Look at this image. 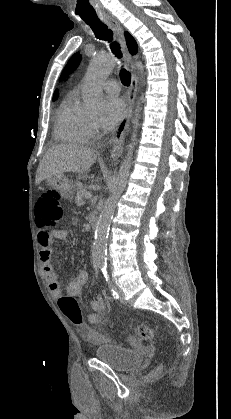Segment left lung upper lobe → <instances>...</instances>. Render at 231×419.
<instances>
[{"label":"left lung upper lobe","mask_w":231,"mask_h":419,"mask_svg":"<svg viewBox=\"0 0 231 419\" xmlns=\"http://www.w3.org/2000/svg\"><path fill=\"white\" fill-rule=\"evenodd\" d=\"M80 60H81V55H80L79 53H75V54H74V55L70 58V60L68 61V63H67V65H66V67H65V69H64V71H63V73H62L61 77H62L63 75H66V74H68V73L72 72L73 70H75V69H76V67L79 65Z\"/></svg>","instance_id":"obj_1"}]
</instances>
